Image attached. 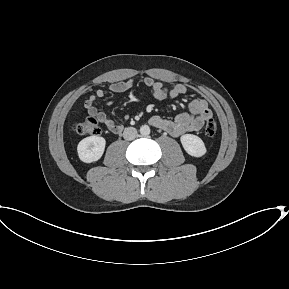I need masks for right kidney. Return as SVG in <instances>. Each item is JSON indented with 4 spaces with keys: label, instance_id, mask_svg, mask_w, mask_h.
<instances>
[{
    "label": "right kidney",
    "instance_id": "1",
    "mask_svg": "<svg viewBox=\"0 0 289 289\" xmlns=\"http://www.w3.org/2000/svg\"><path fill=\"white\" fill-rule=\"evenodd\" d=\"M106 141L100 136H90L81 140L77 147L79 159L85 163H92L101 158L105 150Z\"/></svg>",
    "mask_w": 289,
    "mask_h": 289
}]
</instances>
